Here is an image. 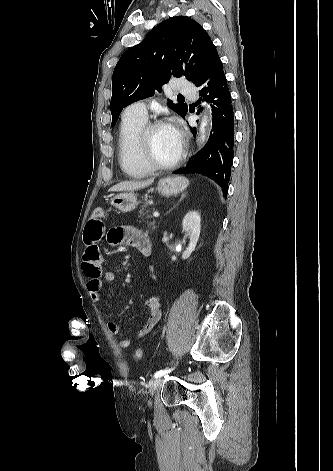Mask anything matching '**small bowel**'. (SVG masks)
<instances>
[{
    "label": "small bowel",
    "mask_w": 333,
    "mask_h": 471,
    "mask_svg": "<svg viewBox=\"0 0 333 471\" xmlns=\"http://www.w3.org/2000/svg\"><path fill=\"white\" fill-rule=\"evenodd\" d=\"M102 217H91L87 221L84 230L85 251L82 269L89 279L87 288L94 302L101 301L103 284L112 283L116 279L114 272L103 271V257L99 250V242L106 238L110 245L131 246L140 250L143 241L148 239L143 231L132 226H118L106 230ZM146 306L149 309V315L143 327L136 334L138 338L150 333L162 316V299L159 295L149 297ZM107 328L112 334L120 333V327L114 322H108ZM119 345L122 348H128L131 345V339L123 338L120 340Z\"/></svg>",
    "instance_id": "1"
}]
</instances>
